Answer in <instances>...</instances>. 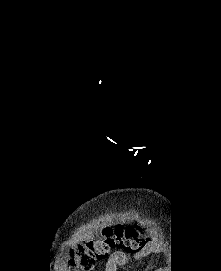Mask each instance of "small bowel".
Instances as JSON below:
<instances>
[{
	"label": "small bowel",
	"instance_id": "obj_1",
	"mask_svg": "<svg viewBox=\"0 0 221 271\" xmlns=\"http://www.w3.org/2000/svg\"><path fill=\"white\" fill-rule=\"evenodd\" d=\"M156 249L157 246L155 244H148L132 254L116 251L110 255L105 271H117L119 267L128 265L132 260H140L155 252Z\"/></svg>",
	"mask_w": 221,
	"mask_h": 271
}]
</instances>
